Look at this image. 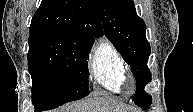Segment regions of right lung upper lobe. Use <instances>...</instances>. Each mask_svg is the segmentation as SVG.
<instances>
[{
    "mask_svg": "<svg viewBox=\"0 0 193 112\" xmlns=\"http://www.w3.org/2000/svg\"><path fill=\"white\" fill-rule=\"evenodd\" d=\"M95 0H42L32 17L30 33L65 32L84 36L103 35Z\"/></svg>",
    "mask_w": 193,
    "mask_h": 112,
    "instance_id": "right-lung-upper-lobe-1",
    "label": "right lung upper lobe"
}]
</instances>
